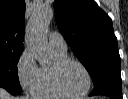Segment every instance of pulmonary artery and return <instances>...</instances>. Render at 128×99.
<instances>
[{
    "label": "pulmonary artery",
    "instance_id": "pulmonary-artery-1",
    "mask_svg": "<svg viewBox=\"0 0 128 99\" xmlns=\"http://www.w3.org/2000/svg\"><path fill=\"white\" fill-rule=\"evenodd\" d=\"M49 47L52 51L58 53L67 52V44L63 36L57 32H52L49 35Z\"/></svg>",
    "mask_w": 128,
    "mask_h": 99
}]
</instances>
